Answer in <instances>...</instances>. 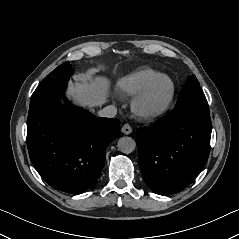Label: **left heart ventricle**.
<instances>
[{"instance_id":"left-heart-ventricle-1","label":"left heart ventricle","mask_w":239,"mask_h":239,"mask_svg":"<svg viewBox=\"0 0 239 239\" xmlns=\"http://www.w3.org/2000/svg\"><path fill=\"white\" fill-rule=\"evenodd\" d=\"M169 92V83L166 80L159 81L151 90L146 102V107H154L160 104Z\"/></svg>"}]
</instances>
